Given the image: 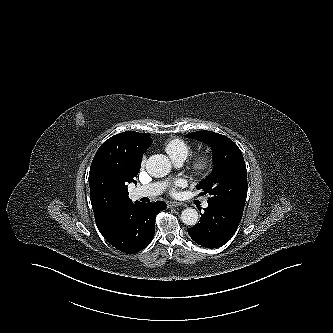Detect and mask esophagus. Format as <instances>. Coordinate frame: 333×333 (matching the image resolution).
Returning a JSON list of instances; mask_svg holds the SVG:
<instances>
[{
    "label": "esophagus",
    "mask_w": 333,
    "mask_h": 333,
    "mask_svg": "<svg viewBox=\"0 0 333 333\" xmlns=\"http://www.w3.org/2000/svg\"><path fill=\"white\" fill-rule=\"evenodd\" d=\"M182 203H179V202H174V201H168L167 202V207L168 208H172V207H178V206H181Z\"/></svg>",
    "instance_id": "1"
}]
</instances>
